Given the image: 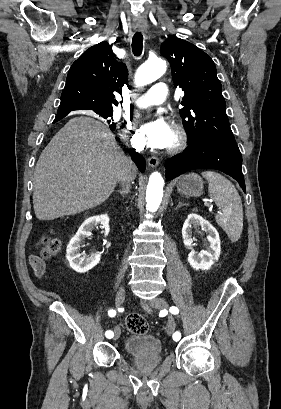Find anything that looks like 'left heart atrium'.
Segmentation results:
<instances>
[{"instance_id": "obj_1", "label": "left heart atrium", "mask_w": 281, "mask_h": 409, "mask_svg": "<svg viewBox=\"0 0 281 409\" xmlns=\"http://www.w3.org/2000/svg\"><path fill=\"white\" fill-rule=\"evenodd\" d=\"M171 133L169 124L163 118H158L144 124L138 132V138L147 147L164 149L169 144Z\"/></svg>"}]
</instances>
